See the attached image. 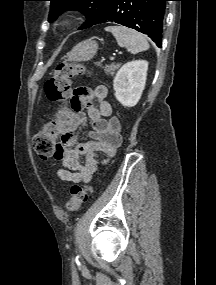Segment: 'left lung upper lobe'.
I'll return each instance as SVG.
<instances>
[{"label":"left lung upper lobe","instance_id":"obj_1","mask_svg":"<svg viewBox=\"0 0 216 285\" xmlns=\"http://www.w3.org/2000/svg\"><path fill=\"white\" fill-rule=\"evenodd\" d=\"M51 2L49 22L57 19L66 10H79L86 16V22L79 28L86 29L94 25L104 14L112 0H48Z\"/></svg>","mask_w":216,"mask_h":285}]
</instances>
